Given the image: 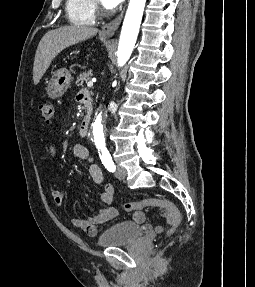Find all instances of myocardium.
I'll return each instance as SVG.
<instances>
[{"instance_id":"myocardium-1","label":"myocardium","mask_w":255,"mask_h":287,"mask_svg":"<svg viewBox=\"0 0 255 287\" xmlns=\"http://www.w3.org/2000/svg\"><path fill=\"white\" fill-rule=\"evenodd\" d=\"M99 33H109V32H99ZM109 39H121V38H109ZM130 48V47H127Z\"/></svg>"}]
</instances>
